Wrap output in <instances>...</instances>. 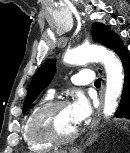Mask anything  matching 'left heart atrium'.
I'll list each match as a JSON object with an SVG mask.
<instances>
[{
    "label": "left heart atrium",
    "mask_w": 130,
    "mask_h": 153,
    "mask_svg": "<svg viewBox=\"0 0 130 153\" xmlns=\"http://www.w3.org/2000/svg\"><path fill=\"white\" fill-rule=\"evenodd\" d=\"M69 106L73 121L76 125H79L87 120L93 111L89 99L86 98L83 94L77 95Z\"/></svg>",
    "instance_id": "39dd6f15"
}]
</instances>
